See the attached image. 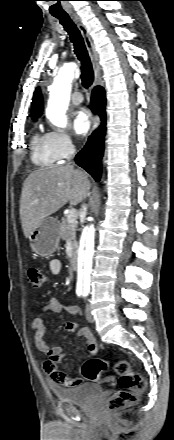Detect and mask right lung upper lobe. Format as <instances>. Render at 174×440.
Here are the masks:
<instances>
[{"label":"right lung upper lobe","instance_id":"cb5924a9","mask_svg":"<svg viewBox=\"0 0 174 440\" xmlns=\"http://www.w3.org/2000/svg\"><path fill=\"white\" fill-rule=\"evenodd\" d=\"M31 106H32V119L36 120L38 117H40L43 109L42 95L39 89H37L34 92Z\"/></svg>","mask_w":174,"mask_h":440}]
</instances>
